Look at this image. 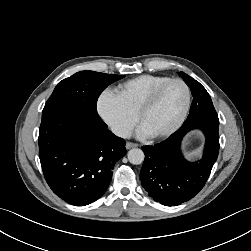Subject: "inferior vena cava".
<instances>
[{"label": "inferior vena cava", "mask_w": 251, "mask_h": 251, "mask_svg": "<svg viewBox=\"0 0 251 251\" xmlns=\"http://www.w3.org/2000/svg\"><path fill=\"white\" fill-rule=\"evenodd\" d=\"M111 131L116 136H119L122 138H130L131 137V132L128 129L120 127V126H112Z\"/></svg>", "instance_id": "1"}]
</instances>
